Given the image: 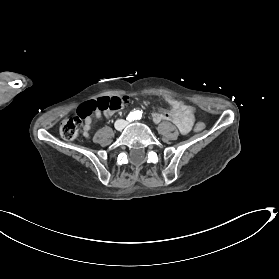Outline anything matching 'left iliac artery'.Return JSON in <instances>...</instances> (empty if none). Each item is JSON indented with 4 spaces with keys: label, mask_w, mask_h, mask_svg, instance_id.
<instances>
[{
    "label": "left iliac artery",
    "mask_w": 279,
    "mask_h": 279,
    "mask_svg": "<svg viewBox=\"0 0 279 279\" xmlns=\"http://www.w3.org/2000/svg\"><path fill=\"white\" fill-rule=\"evenodd\" d=\"M142 117V112L141 111H136L135 112V119H141Z\"/></svg>",
    "instance_id": "1"
}]
</instances>
